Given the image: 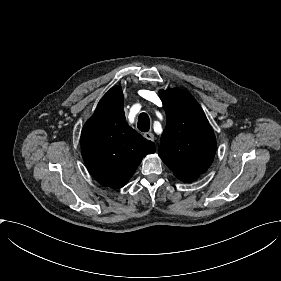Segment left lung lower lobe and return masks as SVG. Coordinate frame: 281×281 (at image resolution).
Listing matches in <instances>:
<instances>
[{
    "mask_svg": "<svg viewBox=\"0 0 281 281\" xmlns=\"http://www.w3.org/2000/svg\"><path fill=\"white\" fill-rule=\"evenodd\" d=\"M196 178L182 176V177H179L178 179H180L184 182H191V181L195 180Z\"/></svg>",
    "mask_w": 281,
    "mask_h": 281,
    "instance_id": "0a47b994",
    "label": "left lung lower lobe"
}]
</instances>
